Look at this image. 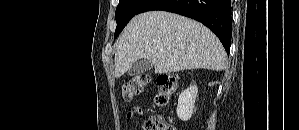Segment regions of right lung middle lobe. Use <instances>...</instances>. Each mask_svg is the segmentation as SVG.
Instances as JSON below:
<instances>
[{
	"instance_id": "right-lung-middle-lobe-1",
	"label": "right lung middle lobe",
	"mask_w": 299,
	"mask_h": 130,
	"mask_svg": "<svg viewBox=\"0 0 299 130\" xmlns=\"http://www.w3.org/2000/svg\"><path fill=\"white\" fill-rule=\"evenodd\" d=\"M147 0H120L116 8L115 18L117 22L114 38L124 29L126 24L135 16Z\"/></svg>"
}]
</instances>
